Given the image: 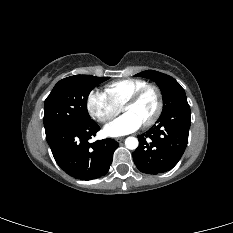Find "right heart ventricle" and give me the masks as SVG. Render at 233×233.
Here are the masks:
<instances>
[{"label":"right heart ventricle","mask_w":233,"mask_h":233,"mask_svg":"<svg viewBox=\"0 0 233 233\" xmlns=\"http://www.w3.org/2000/svg\"><path fill=\"white\" fill-rule=\"evenodd\" d=\"M145 85L147 82L141 79L117 80L105 86L104 94L113 104L121 108L132 93Z\"/></svg>","instance_id":"1"}]
</instances>
